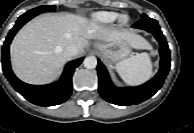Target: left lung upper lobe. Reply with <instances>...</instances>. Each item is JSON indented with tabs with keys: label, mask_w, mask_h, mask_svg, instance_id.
I'll return each mask as SVG.
<instances>
[{
	"label": "left lung upper lobe",
	"mask_w": 194,
	"mask_h": 133,
	"mask_svg": "<svg viewBox=\"0 0 194 133\" xmlns=\"http://www.w3.org/2000/svg\"><path fill=\"white\" fill-rule=\"evenodd\" d=\"M141 17L142 18H145V17H147V15L146 14H142Z\"/></svg>",
	"instance_id": "left-lung-upper-lobe-1"
}]
</instances>
